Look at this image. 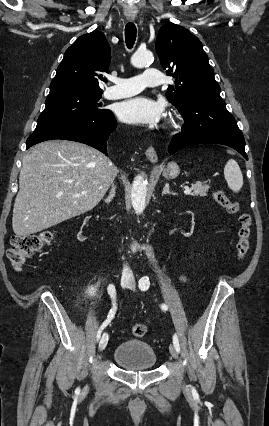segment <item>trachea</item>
I'll return each instance as SVG.
<instances>
[{"mask_svg": "<svg viewBox=\"0 0 269 426\" xmlns=\"http://www.w3.org/2000/svg\"><path fill=\"white\" fill-rule=\"evenodd\" d=\"M136 33H137V30L134 23L132 22L127 23L125 27V41L129 49H131L135 43Z\"/></svg>", "mask_w": 269, "mask_h": 426, "instance_id": "3493384b", "label": "trachea"}]
</instances>
